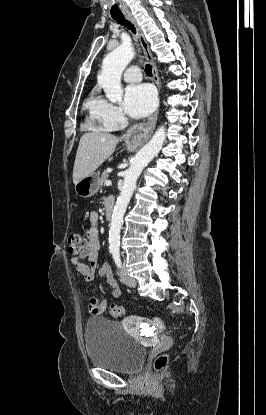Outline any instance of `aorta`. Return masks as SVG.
<instances>
[{"mask_svg":"<svg viewBox=\"0 0 266 415\" xmlns=\"http://www.w3.org/2000/svg\"><path fill=\"white\" fill-rule=\"evenodd\" d=\"M134 56L135 52L133 47L130 44H122L111 51L103 60L98 82L104 89L106 97L112 103L122 101L123 90L121 88V75ZM165 138V128L161 126L151 140L137 152L129 169L125 173L122 191L114 207L110 223V251L119 250L123 216L136 188L137 180L144 167L159 153Z\"/></svg>","mask_w":266,"mask_h":415,"instance_id":"762f6f07","label":"aorta"}]
</instances>
